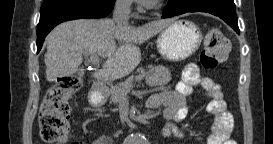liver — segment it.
<instances>
[{"mask_svg": "<svg viewBox=\"0 0 273 144\" xmlns=\"http://www.w3.org/2000/svg\"><path fill=\"white\" fill-rule=\"evenodd\" d=\"M173 22L174 19L156 20L141 27L116 26L110 19H78L61 23L46 38V78L53 82L57 78L72 76L81 65L84 53L106 59L102 69L92 75L98 81L122 78L141 61L137 44L144 43Z\"/></svg>", "mask_w": 273, "mask_h": 144, "instance_id": "6515ba94", "label": "liver"}]
</instances>
